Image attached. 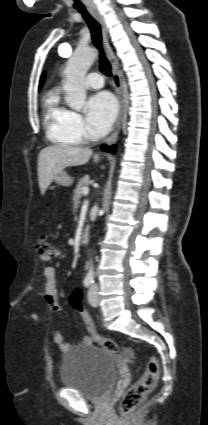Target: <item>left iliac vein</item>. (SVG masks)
<instances>
[{"mask_svg":"<svg viewBox=\"0 0 208 425\" xmlns=\"http://www.w3.org/2000/svg\"><path fill=\"white\" fill-rule=\"evenodd\" d=\"M88 300L91 306L97 307L99 304L98 300V286L96 284L92 285L88 292Z\"/></svg>","mask_w":208,"mask_h":425,"instance_id":"1","label":"left iliac vein"}]
</instances>
